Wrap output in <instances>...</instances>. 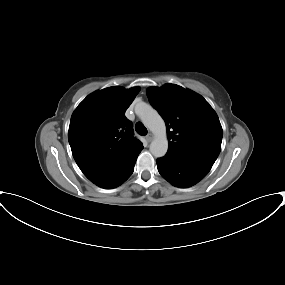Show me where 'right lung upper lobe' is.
I'll return each instance as SVG.
<instances>
[{
	"label": "right lung upper lobe",
	"instance_id": "right-lung-upper-lobe-1",
	"mask_svg": "<svg viewBox=\"0 0 285 285\" xmlns=\"http://www.w3.org/2000/svg\"><path fill=\"white\" fill-rule=\"evenodd\" d=\"M138 92V87L120 86L93 92L71 116L68 139L72 154L93 183L107 178L143 149L124 115Z\"/></svg>",
	"mask_w": 285,
	"mask_h": 285
}]
</instances>
